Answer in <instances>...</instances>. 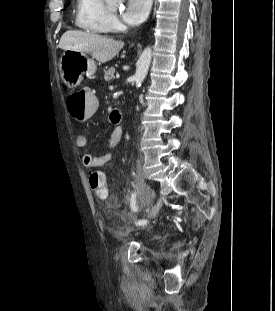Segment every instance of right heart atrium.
I'll return each instance as SVG.
<instances>
[{
  "mask_svg": "<svg viewBox=\"0 0 275 311\" xmlns=\"http://www.w3.org/2000/svg\"><path fill=\"white\" fill-rule=\"evenodd\" d=\"M109 27L110 29H118L120 27L119 20L116 16H110Z\"/></svg>",
  "mask_w": 275,
  "mask_h": 311,
  "instance_id": "d8ad5b80",
  "label": "right heart atrium"
}]
</instances>
